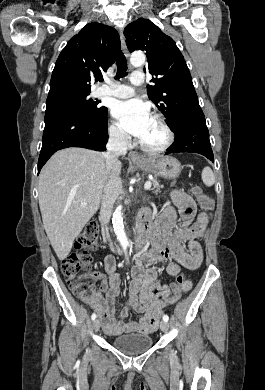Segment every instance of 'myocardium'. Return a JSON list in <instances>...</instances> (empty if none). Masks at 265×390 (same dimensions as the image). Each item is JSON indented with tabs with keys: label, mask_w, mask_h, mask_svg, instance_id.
I'll return each instance as SVG.
<instances>
[{
	"label": "myocardium",
	"mask_w": 265,
	"mask_h": 390,
	"mask_svg": "<svg viewBox=\"0 0 265 390\" xmlns=\"http://www.w3.org/2000/svg\"><path fill=\"white\" fill-rule=\"evenodd\" d=\"M152 118L161 126L162 130L164 131L165 134L164 141L159 146L156 147L148 146L143 142H141L140 140L138 141V144L139 147L146 153L159 154L166 151L172 145L174 141V133L171 127L169 126V124L167 123V121L161 115L154 114Z\"/></svg>",
	"instance_id": "1"
}]
</instances>
